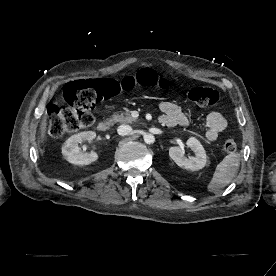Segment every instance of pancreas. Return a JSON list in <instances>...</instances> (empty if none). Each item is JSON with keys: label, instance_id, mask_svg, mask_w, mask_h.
Listing matches in <instances>:
<instances>
[{"label": "pancreas", "instance_id": "pancreas-1", "mask_svg": "<svg viewBox=\"0 0 276 276\" xmlns=\"http://www.w3.org/2000/svg\"><path fill=\"white\" fill-rule=\"evenodd\" d=\"M108 122L110 124H114V123H133L136 122V119L133 118L131 116L130 113L125 112V113H121V114H113L109 119Z\"/></svg>", "mask_w": 276, "mask_h": 276}]
</instances>
